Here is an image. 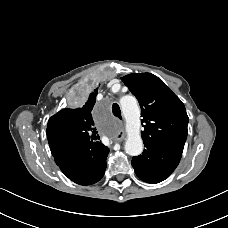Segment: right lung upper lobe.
Here are the masks:
<instances>
[{"label":"right lung upper lobe","instance_id":"right-lung-upper-lobe-1","mask_svg":"<svg viewBox=\"0 0 228 228\" xmlns=\"http://www.w3.org/2000/svg\"><path fill=\"white\" fill-rule=\"evenodd\" d=\"M98 88L94 89L79 108H66L52 116L47 125L49 146L69 145L76 142H99L92 117Z\"/></svg>","mask_w":228,"mask_h":228}]
</instances>
